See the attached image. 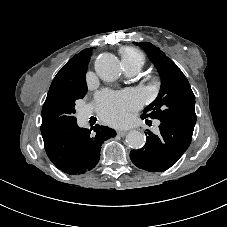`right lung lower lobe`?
<instances>
[{
  "label": "right lung lower lobe",
  "mask_w": 227,
  "mask_h": 227,
  "mask_svg": "<svg viewBox=\"0 0 227 227\" xmlns=\"http://www.w3.org/2000/svg\"><path fill=\"white\" fill-rule=\"evenodd\" d=\"M115 135V130L106 126L95 125L91 133L76 124L51 134L43 141L51 162L64 173L76 175L97 165L102 143Z\"/></svg>",
  "instance_id": "98d812e1"
}]
</instances>
